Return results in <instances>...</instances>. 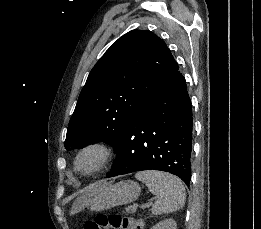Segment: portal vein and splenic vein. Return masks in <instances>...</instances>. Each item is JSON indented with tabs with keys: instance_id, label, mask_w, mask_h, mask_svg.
<instances>
[{
	"instance_id": "obj_1",
	"label": "portal vein and splenic vein",
	"mask_w": 261,
	"mask_h": 229,
	"mask_svg": "<svg viewBox=\"0 0 261 229\" xmlns=\"http://www.w3.org/2000/svg\"><path fill=\"white\" fill-rule=\"evenodd\" d=\"M152 203H146V205H141L140 203H134L133 207L134 208H140L141 209H146V207H151Z\"/></svg>"
}]
</instances>
